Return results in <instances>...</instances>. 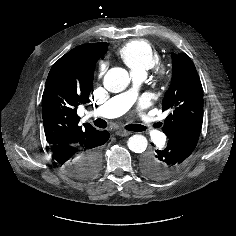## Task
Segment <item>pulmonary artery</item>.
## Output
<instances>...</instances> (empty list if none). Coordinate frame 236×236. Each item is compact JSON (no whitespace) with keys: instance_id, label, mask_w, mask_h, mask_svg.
I'll use <instances>...</instances> for the list:
<instances>
[{"instance_id":"1","label":"pulmonary artery","mask_w":236,"mask_h":236,"mask_svg":"<svg viewBox=\"0 0 236 236\" xmlns=\"http://www.w3.org/2000/svg\"><path fill=\"white\" fill-rule=\"evenodd\" d=\"M132 77L134 81L138 83L145 79L146 73H135L132 74ZM136 102L137 90L135 88H130L109 99L96 110L95 115L104 118L117 117L131 109ZM137 116L139 125H141L145 132H147L157 143L164 144L166 142L165 135L155 127L154 120L148 113L142 111L137 113Z\"/></svg>"}]
</instances>
